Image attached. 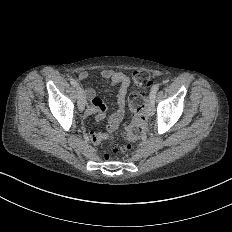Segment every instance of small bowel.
Returning <instances> with one entry per match:
<instances>
[{
  "instance_id": "1",
  "label": "small bowel",
  "mask_w": 232,
  "mask_h": 232,
  "mask_svg": "<svg viewBox=\"0 0 232 232\" xmlns=\"http://www.w3.org/2000/svg\"><path fill=\"white\" fill-rule=\"evenodd\" d=\"M79 81L85 82L88 80V73L85 70H79L77 72ZM101 81L106 84L116 83L120 85V92L118 98L119 108L123 107L124 99L127 92V89L130 84L129 77L123 72H115L111 69H103L99 73ZM82 95L85 99L89 101V105L86 107L85 114L86 116L96 115L97 118L101 119L106 116V107L101 103V100L96 96L94 88L87 87L82 90ZM123 113L121 110H118L111 118L110 125L108 129L114 131L117 127L118 122L121 120ZM82 132V127L78 128V133ZM108 136L102 133H94L90 136V140L99 144L102 141L106 140Z\"/></svg>"
}]
</instances>
